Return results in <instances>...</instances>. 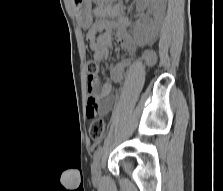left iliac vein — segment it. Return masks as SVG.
Returning a JSON list of instances; mask_svg holds the SVG:
<instances>
[{"label": "left iliac vein", "instance_id": "4c4485c4", "mask_svg": "<svg viewBox=\"0 0 223 191\" xmlns=\"http://www.w3.org/2000/svg\"><path fill=\"white\" fill-rule=\"evenodd\" d=\"M92 179L94 181H98L101 177V165L99 160L98 161H94L93 165H92Z\"/></svg>", "mask_w": 223, "mask_h": 191}]
</instances>
